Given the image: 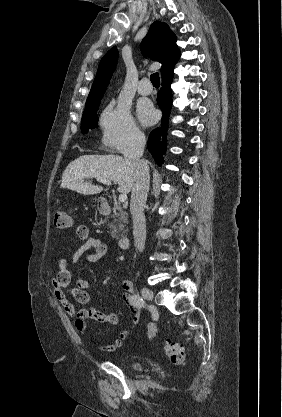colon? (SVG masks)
I'll use <instances>...</instances> for the list:
<instances>
[{"mask_svg": "<svg viewBox=\"0 0 282 417\" xmlns=\"http://www.w3.org/2000/svg\"><path fill=\"white\" fill-rule=\"evenodd\" d=\"M53 225L57 229H67L72 225V218L70 211L67 208H57L53 213ZM158 333V325L155 322H150L147 327V336L150 341H153ZM162 352L167 359L174 365L185 364V350L182 343H175L172 341H165Z\"/></svg>", "mask_w": 282, "mask_h": 417, "instance_id": "colon-1", "label": "colon"}]
</instances>
